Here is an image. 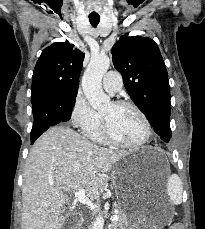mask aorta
I'll use <instances>...</instances> for the list:
<instances>
[{"instance_id":"762f6f07","label":"aorta","mask_w":205,"mask_h":229,"mask_svg":"<svg viewBox=\"0 0 205 229\" xmlns=\"http://www.w3.org/2000/svg\"><path fill=\"white\" fill-rule=\"evenodd\" d=\"M110 66L107 55L91 57L82 77V89L88 102L94 109H101L110 103V97L102 89V77ZM104 217L98 215L92 229H103Z\"/></svg>"}]
</instances>
